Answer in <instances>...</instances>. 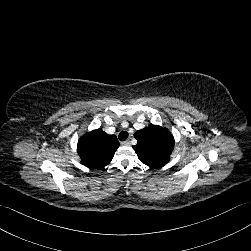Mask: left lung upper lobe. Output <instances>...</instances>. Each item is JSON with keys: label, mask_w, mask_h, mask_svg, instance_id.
Returning a JSON list of instances; mask_svg holds the SVG:
<instances>
[{"label": "left lung upper lobe", "mask_w": 251, "mask_h": 251, "mask_svg": "<svg viewBox=\"0 0 251 251\" xmlns=\"http://www.w3.org/2000/svg\"><path fill=\"white\" fill-rule=\"evenodd\" d=\"M134 137L138 143L133 149L142 163L150 168H160L170 161L174 137L166 128L150 125L138 130Z\"/></svg>", "instance_id": "obj_1"}]
</instances>
